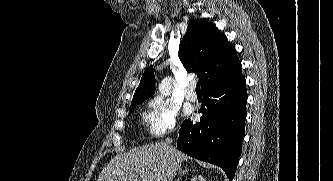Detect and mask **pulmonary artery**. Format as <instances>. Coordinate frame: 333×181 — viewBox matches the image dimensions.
<instances>
[{
    "mask_svg": "<svg viewBox=\"0 0 333 181\" xmlns=\"http://www.w3.org/2000/svg\"><path fill=\"white\" fill-rule=\"evenodd\" d=\"M194 89V86L192 84H190L188 86V89L186 90L185 92V98L188 100V101H191V102H195L197 100V95L196 93L193 91Z\"/></svg>",
    "mask_w": 333,
    "mask_h": 181,
    "instance_id": "obj_1",
    "label": "pulmonary artery"
}]
</instances>
